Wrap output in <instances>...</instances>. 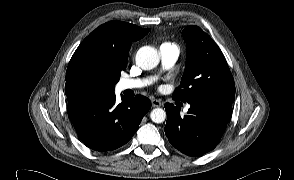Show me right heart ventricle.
<instances>
[{
	"instance_id": "right-heart-ventricle-1",
	"label": "right heart ventricle",
	"mask_w": 294,
	"mask_h": 180,
	"mask_svg": "<svg viewBox=\"0 0 294 180\" xmlns=\"http://www.w3.org/2000/svg\"><path fill=\"white\" fill-rule=\"evenodd\" d=\"M167 44H170V43H163L162 45H167ZM162 45H161V46H162Z\"/></svg>"
}]
</instances>
